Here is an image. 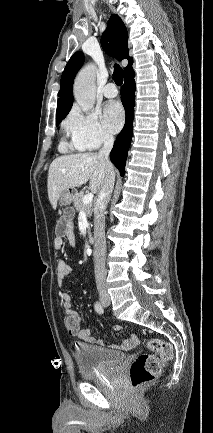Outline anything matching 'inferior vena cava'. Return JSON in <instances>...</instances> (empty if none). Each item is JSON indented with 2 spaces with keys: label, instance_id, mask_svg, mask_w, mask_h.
Listing matches in <instances>:
<instances>
[{
  "label": "inferior vena cava",
  "instance_id": "obj_1",
  "mask_svg": "<svg viewBox=\"0 0 213 433\" xmlns=\"http://www.w3.org/2000/svg\"><path fill=\"white\" fill-rule=\"evenodd\" d=\"M114 137L109 133L103 135V147L99 150L98 156L103 158L108 166L107 173L99 189L98 197L94 206V266L95 279L99 293L106 292V238H105V216L104 211L110 200L115 181V174L112 169L109 154L113 147Z\"/></svg>",
  "mask_w": 213,
  "mask_h": 433
}]
</instances>
